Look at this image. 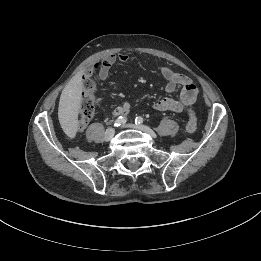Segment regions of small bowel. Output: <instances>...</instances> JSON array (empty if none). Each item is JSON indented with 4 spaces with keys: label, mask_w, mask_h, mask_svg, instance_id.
I'll return each instance as SVG.
<instances>
[{
    "label": "small bowel",
    "mask_w": 261,
    "mask_h": 261,
    "mask_svg": "<svg viewBox=\"0 0 261 261\" xmlns=\"http://www.w3.org/2000/svg\"><path fill=\"white\" fill-rule=\"evenodd\" d=\"M126 63L129 61V56L125 53H119L118 55H109L102 59V61L96 66L98 70V77L101 81L105 80L111 70V67L117 62ZM159 71L166 80L165 91L167 93H174L180 88V95L178 99L164 97L159 99L153 104V109L159 112L172 111L183 112L189 106H192L197 99L198 89L193 81L186 75L173 71L168 66H159ZM92 74V70L85 72L84 76L88 77ZM131 106L128 102H125L117 106L113 112V117H125L130 112ZM86 125L81 126L80 129H84Z\"/></svg>",
    "instance_id": "obj_1"
}]
</instances>
